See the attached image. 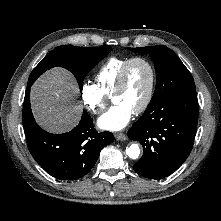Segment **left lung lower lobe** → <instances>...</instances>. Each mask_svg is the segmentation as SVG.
Returning <instances> with one entry per match:
<instances>
[{"label":"left lung lower lobe","mask_w":221,"mask_h":221,"mask_svg":"<svg viewBox=\"0 0 221 221\" xmlns=\"http://www.w3.org/2000/svg\"><path fill=\"white\" fill-rule=\"evenodd\" d=\"M198 112L196 90L148 105L128 131L129 139L143 146L134 171L150 179H162L176 171L193 148Z\"/></svg>","instance_id":"obj_1"}]
</instances>
